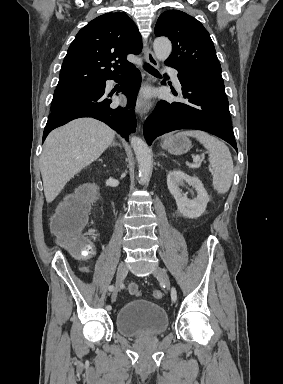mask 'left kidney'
Listing matches in <instances>:
<instances>
[{
	"label": "left kidney",
	"mask_w": 283,
	"mask_h": 384,
	"mask_svg": "<svg viewBox=\"0 0 283 384\" xmlns=\"http://www.w3.org/2000/svg\"><path fill=\"white\" fill-rule=\"evenodd\" d=\"M184 182L195 188L197 196L193 200H189L187 196L181 194L182 190H179V186H185ZM167 186L170 194L176 200L180 214H183L186 218H199V216H202L209 202V196L198 178H191L181 170H172L167 176Z\"/></svg>",
	"instance_id": "5707ae66"
}]
</instances>
